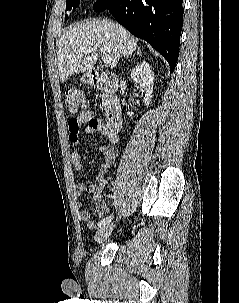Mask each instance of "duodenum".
<instances>
[{"mask_svg":"<svg viewBox=\"0 0 239 303\" xmlns=\"http://www.w3.org/2000/svg\"><path fill=\"white\" fill-rule=\"evenodd\" d=\"M89 82L104 91L106 105V120L109 129L118 133L123 127V116L120 101L117 97L119 81L114 74L91 70L88 74Z\"/></svg>","mask_w":239,"mask_h":303,"instance_id":"1","label":"duodenum"}]
</instances>
